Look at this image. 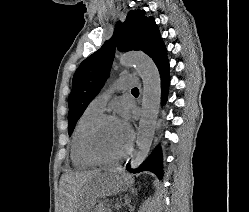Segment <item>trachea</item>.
I'll list each match as a JSON object with an SVG mask.
<instances>
[{"label": "trachea", "mask_w": 249, "mask_h": 212, "mask_svg": "<svg viewBox=\"0 0 249 212\" xmlns=\"http://www.w3.org/2000/svg\"><path fill=\"white\" fill-rule=\"evenodd\" d=\"M132 90H138V88H137V87H135V88H133Z\"/></svg>", "instance_id": "obj_1"}]
</instances>
